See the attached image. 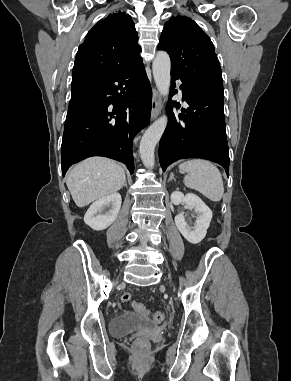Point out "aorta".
<instances>
[{"mask_svg": "<svg viewBox=\"0 0 291 381\" xmlns=\"http://www.w3.org/2000/svg\"><path fill=\"white\" fill-rule=\"evenodd\" d=\"M170 57L165 51H158L153 64V76L155 84L160 94L168 96L170 90ZM167 126V116L163 115L157 119L143 134L140 141V157L143 164L148 168H153L155 164L154 151L164 130Z\"/></svg>", "mask_w": 291, "mask_h": 381, "instance_id": "aorta-1", "label": "aorta"}]
</instances>
